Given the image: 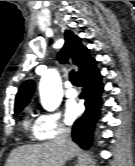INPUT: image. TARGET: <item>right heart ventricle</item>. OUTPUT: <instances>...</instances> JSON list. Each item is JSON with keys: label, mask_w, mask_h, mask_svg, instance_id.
Returning a JSON list of instances; mask_svg holds the SVG:
<instances>
[{"label": "right heart ventricle", "mask_w": 135, "mask_h": 166, "mask_svg": "<svg viewBox=\"0 0 135 166\" xmlns=\"http://www.w3.org/2000/svg\"><path fill=\"white\" fill-rule=\"evenodd\" d=\"M23 125L26 129H32V131L34 133L35 125L34 126L32 125L31 120L28 115L24 118Z\"/></svg>", "instance_id": "1"}]
</instances>
